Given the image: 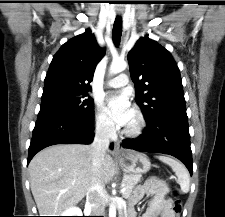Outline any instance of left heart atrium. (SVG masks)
Segmentation results:
<instances>
[{"label": "left heart atrium", "mask_w": 225, "mask_h": 217, "mask_svg": "<svg viewBox=\"0 0 225 217\" xmlns=\"http://www.w3.org/2000/svg\"><path fill=\"white\" fill-rule=\"evenodd\" d=\"M105 109L112 120L120 126L127 125L132 117L130 100L125 93L107 97L105 100Z\"/></svg>", "instance_id": "1"}]
</instances>
